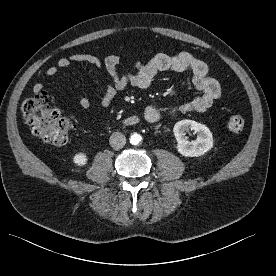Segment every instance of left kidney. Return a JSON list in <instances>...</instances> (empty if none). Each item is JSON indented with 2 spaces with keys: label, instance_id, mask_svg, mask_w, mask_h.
Here are the masks:
<instances>
[{
  "label": "left kidney",
  "instance_id": "obj_1",
  "mask_svg": "<svg viewBox=\"0 0 276 276\" xmlns=\"http://www.w3.org/2000/svg\"><path fill=\"white\" fill-rule=\"evenodd\" d=\"M194 131L196 140L188 141L186 132ZM177 140V151L185 157L204 155L213 147V136L208 127L193 120H181L173 128Z\"/></svg>",
  "mask_w": 276,
  "mask_h": 276
}]
</instances>
